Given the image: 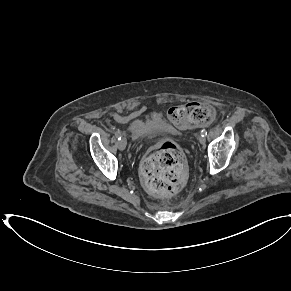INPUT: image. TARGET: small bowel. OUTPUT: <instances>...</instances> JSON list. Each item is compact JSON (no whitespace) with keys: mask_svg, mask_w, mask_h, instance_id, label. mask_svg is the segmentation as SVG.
<instances>
[{"mask_svg":"<svg viewBox=\"0 0 291 291\" xmlns=\"http://www.w3.org/2000/svg\"><path fill=\"white\" fill-rule=\"evenodd\" d=\"M109 116L117 122H123L125 120V116L120 115L116 112L109 113Z\"/></svg>","mask_w":291,"mask_h":291,"instance_id":"1","label":"small bowel"}]
</instances>
